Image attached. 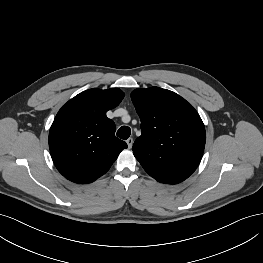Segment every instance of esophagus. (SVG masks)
Instances as JSON below:
<instances>
[{"instance_id":"esophagus-1","label":"esophagus","mask_w":263,"mask_h":263,"mask_svg":"<svg viewBox=\"0 0 263 263\" xmlns=\"http://www.w3.org/2000/svg\"><path fill=\"white\" fill-rule=\"evenodd\" d=\"M133 142H134L133 138H131V137L126 140V143H127L129 149L132 148Z\"/></svg>"}]
</instances>
